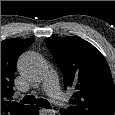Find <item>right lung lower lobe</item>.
Masks as SVG:
<instances>
[{
	"label": "right lung lower lobe",
	"instance_id": "98d812e1",
	"mask_svg": "<svg viewBox=\"0 0 115 115\" xmlns=\"http://www.w3.org/2000/svg\"><path fill=\"white\" fill-rule=\"evenodd\" d=\"M38 107L35 106V105H31L30 106V110L27 112L28 114L27 115H37L38 113Z\"/></svg>",
	"mask_w": 115,
	"mask_h": 115
}]
</instances>
